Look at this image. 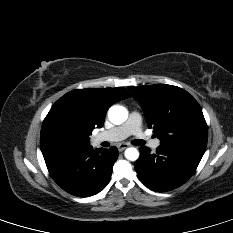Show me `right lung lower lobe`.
Instances as JSON below:
<instances>
[{
    "label": "right lung lower lobe",
    "mask_w": 233,
    "mask_h": 233,
    "mask_svg": "<svg viewBox=\"0 0 233 233\" xmlns=\"http://www.w3.org/2000/svg\"><path fill=\"white\" fill-rule=\"evenodd\" d=\"M42 154L53 180L66 192L88 197L100 192L110 181L118 158L117 148H51Z\"/></svg>",
    "instance_id": "98d812e1"
}]
</instances>
